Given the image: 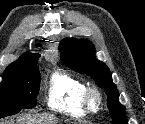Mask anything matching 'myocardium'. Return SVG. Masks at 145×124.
I'll return each mask as SVG.
<instances>
[{
    "mask_svg": "<svg viewBox=\"0 0 145 124\" xmlns=\"http://www.w3.org/2000/svg\"><path fill=\"white\" fill-rule=\"evenodd\" d=\"M103 103V95L101 91L95 87L90 86L87 88L83 98L84 109L88 113H97Z\"/></svg>",
    "mask_w": 145,
    "mask_h": 124,
    "instance_id": "1",
    "label": "myocardium"
}]
</instances>
